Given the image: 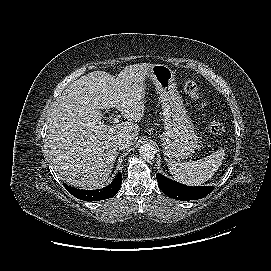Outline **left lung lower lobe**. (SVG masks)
<instances>
[{
	"label": "left lung lower lobe",
	"mask_w": 271,
	"mask_h": 271,
	"mask_svg": "<svg viewBox=\"0 0 271 271\" xmlns=\"http://www.w3.org/2000/svg\"><path fill=\"white\" fill-rule=\"evenodd\" d=\"M157 182L160 189L170 198L189 201L207 196L214 189L213 186H186L157 174Z\"/></svg>",
	"instance_id": "1"
}]
</instances>
